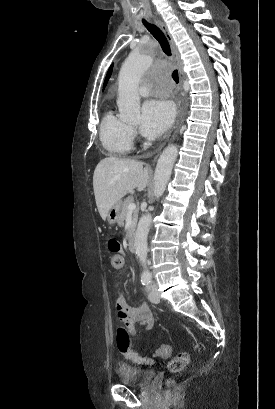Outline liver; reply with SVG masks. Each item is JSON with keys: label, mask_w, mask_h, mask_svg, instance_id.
<instances>
[{"label": "liver", "mask_w": 275, "mask_h": 409, "mask_svg": "<svg viewBox=\"0 0 275 409\" xmlns=\"http://www.w3.org/2000/svg\"><path fill=\"white\" fill-rule=\"evenodd\" d=\"M148 178V168H143V162L116 156L102 158L94 170L93 186L97 209L103 221L109 209L129 190H144Z\"/></svg>", "instance_id": "obj_1"}]
</instances>
